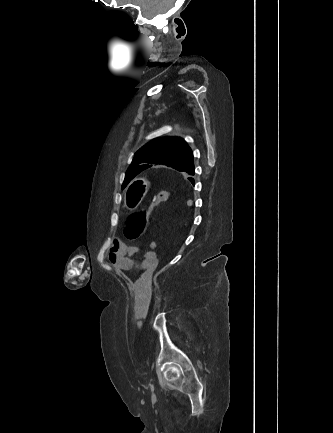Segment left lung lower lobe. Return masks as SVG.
<instances>
[{
  "instance_id": "0a47b994",
  "label": "left lung lower lobe",
  "mask_w": 333,
  "mask_h": 433,
  "mask_svg": "<svg viewBox=\"0 0 333 433\" xmlns=\"http://www.w3.org/2000/svg\"><path fill=\"white\" fill-rule=\"evenodd\" d=\"M152 167V165H145L143 168V170ZM184 172H187L190 175H194L195 174V167L194 164L192 166H190L188 169L184 170ZM189 180L192 182V184H194V180L192 178H189Z\"/></svg>"
}]
</instances>
